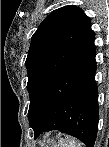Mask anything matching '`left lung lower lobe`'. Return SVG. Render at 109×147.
I'll return each instance as SVG.
<instances>
[{
    "instance_id": "obj_1",
    "label": "left lung lower lobe",
    "mask_w": 109,
    "mask_h": 147,
    "mask_svg": "<svg viewBox=\"0 0 109 147\" xmlns=\"http://www.w3.org/2000/svg\"><path fill=\"white\" fill-rule=\"evenodd\" d=\"M94 36L60 71L38 120L34 137L60 130L94 145L98 130V87Z\"/></svg>"
}]
</instances>
